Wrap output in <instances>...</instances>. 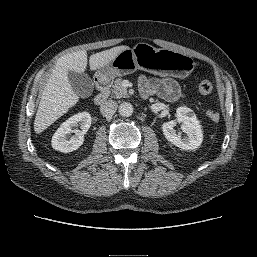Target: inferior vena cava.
Segmentation results:
<instances>
[{
  "label": "inferior vena cava",
  "instance_id": "1",
  "mask_svg": "<svg viewBox=\"0 0 257 257\" xmlns=\"http://www.w3.org/2000/svg\"><path fill=\"white\" fill-rule=\"evenodd\" d=\"M117 106L118 104L116 101L108 100L100 106V112L104 116H111L116 112Z\"/></svg>",
  "mask_w": 257,
  "mask_h": 257
}]
</instances>
